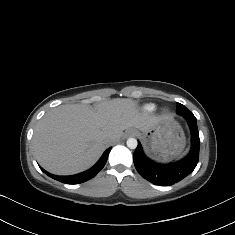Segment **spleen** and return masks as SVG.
<instances>
[{
    "instance_id": "1",
    "label": "spleen",
    "mask_w": 235,
    "mask_h": 235,
    "mask_svg": "<svg viewBox=\"0 0 235 235\" xmlns=\"http://www.w3.org/2000/svg\"><path fill=\"white\" fill-rule=\"evenodd\" d=\"M185 153H182V155L180 157H182Z\"/></svg>"
}]
</instances>
